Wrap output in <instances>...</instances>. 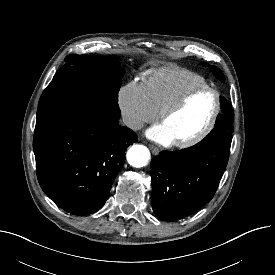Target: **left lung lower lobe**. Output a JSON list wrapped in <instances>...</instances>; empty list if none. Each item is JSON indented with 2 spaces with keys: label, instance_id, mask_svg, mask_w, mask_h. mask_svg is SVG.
<instances>
[{
  "label": "left lung lower lobe",
  "instance_id": "1",
  "mask_svg": "<svg viewBox=\"0 0 275 275\" xmlns=\"http://www.w3.org/2000/svg\"><path fill=\"white\" fill-rule=\"evenodd\" d=\"M231 142V132L213 131L190 148L162 151L151 160L152 208L159 219H182L213 198Z\"/></svg>",
  "mask_w": 275,
  "mask_h": 275
}]
</instances>
